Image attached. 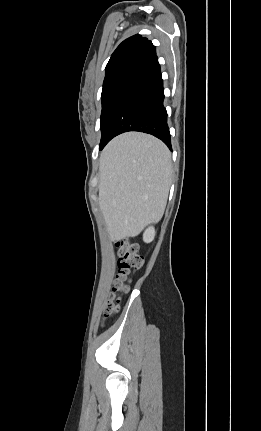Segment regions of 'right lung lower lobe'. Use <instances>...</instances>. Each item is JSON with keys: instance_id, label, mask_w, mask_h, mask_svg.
I'll list each match as a JSON object with an SVG mask.
<instances>
[{"instance_id": "1", "label": "right lung lower lobe", "mask_w": 261, "mask_h": 431, "mask_svg": "<svg viewBox=\"0 0 261 431\" xmlns=\"http://www.w3.org/2000/svg\"><path fill=\"white\" fill-rule=\"evenodd\" d=\"M163 101V80L156 60L140 71L123 97L109 128L108 142L123 132L139 131L159 138L172 150Z\"/></svg>"}]
</instances>
